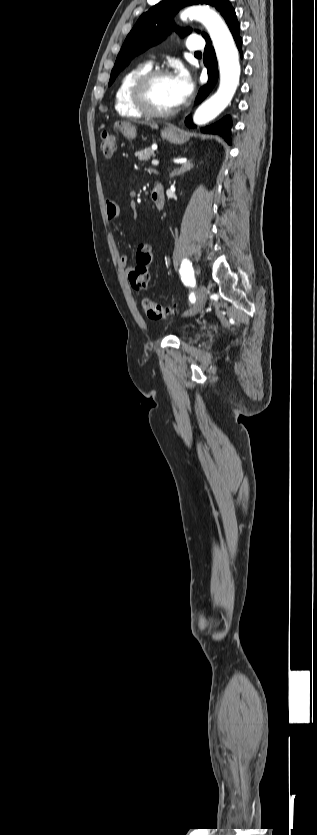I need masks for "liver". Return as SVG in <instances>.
Listing matches in <instances>:
<instances>
[{"label":"liver","mask_w":317,"mask_h":835,"mask_svg":"<svg viewBox=\"0 0 317 835\" xmlns=\"http://www.w3.org/2000/svg\"><path fill=\"white\" fill-rule=\"evenodd\" d=\"M141 124H147V125H149L152 129H158V125H157V124H154V123H153V124H150V123H146V122H141Z\"/></svg>","instance_id":"6515ba94"}]
</instances>
